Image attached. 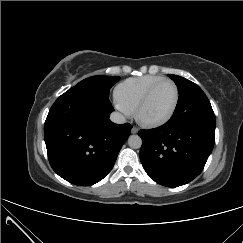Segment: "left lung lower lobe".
I'll list each match as a JSON object with an SVG mask.
<instances>
[{
    "instance_id": "0a47b994",
    "label": "left lung lower lobe",
    "mask_w": 243,
    "mask_h": 243,
    "mask_svg": "<svg viewBox=\"0 0 243 243\" xmlns=\"http://www.w3.org/2000/svg\"><path fill=\"white\" fill-rule=\"evenodd\" d=\"M141 163L151 179L178 187L203 170L215 142V126L170 119L164 125L140 130Z\"/></svg>"
}]
</instances>
